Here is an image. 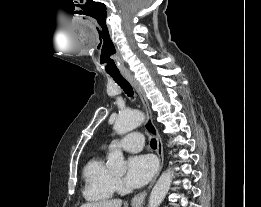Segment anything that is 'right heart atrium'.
<instances>
[{
  "mask_svg": "<svg viewBox=\"0 0 261 207\" xmlns=\"http://www.w3.org/2000/svg\"><path fill=\"white\" fill-rule=\"evenodd\" d=\"M115 185H116V188H117V189H120L121 186H122V185H121V181H120L119 179H116V180H115Z\"/></svg>",
  "mask_w": 261,
  "mask_h": 207,
  "instance_id": "obj_1",
  "label": "right heart atrium"
}]
</instances>
